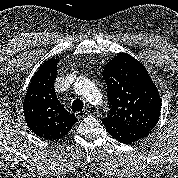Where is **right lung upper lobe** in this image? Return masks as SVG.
I'll list each match as a JSON object with an SVG mask.
<instances>
[{
    "label": "right lung upper lobe",
    "mask_w": 178,
    "mask_h": 178,
    "mask_svg": "<svg viewBox=\"0 0 178 178\" xmlns=\"http://www.w3.org/2000/svg\"><path fill=\"white\" fill-rule=\"evenodd\" d=\"M59 59L45 61L32 77L24 99V116L29 129L46 140H59L78 121L59 102L54 81Z\"/></svg>",
    "instance_id": "obj_1"
}]
</instances>
